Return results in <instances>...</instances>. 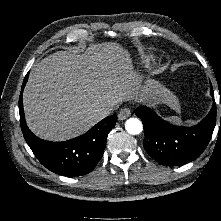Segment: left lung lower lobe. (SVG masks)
<instances>
[{"label": "left lung lower lobe", "instance_id": "0a47b994", "mask_svg": "<svg viewBox=\"0 0 221 221\" xmlns=\"http://www.w3.org/2000/svg\"><path fill=\"white\" fill-rule=\"evenodd\" d=\"M136 115L144 125L147 153L160 164L172 166L192 161L203 152L215 127L216 108L196 127H176L145 106L137 108Z\"/></svg>", "mask_w": 221, "mask_h": 221}]
</instances>
